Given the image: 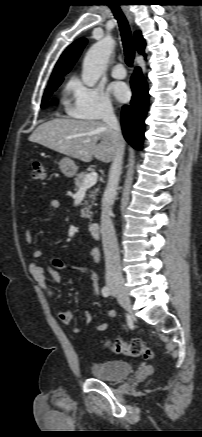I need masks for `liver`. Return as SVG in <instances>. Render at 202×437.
Returning a JSON list of instances; mask_svg holds the SVG:
<instances>
[{
    "instance_id": "1",
    "label": "liver",
    "mask_w": 202,
    "mask_h": 437,
    "mask_svg": "<svg viewBox=\"0 0 202 437\" xmlns=\"http://www.w3.org/2000/svg\"><path fill=\"white\" fill-rule=\"evenodd\" d=\"M29 141L83 162L95 157L108 163L115 157L111 130L103 121L53 119L39 125Z\"/></svg>"
}]
</instances>
